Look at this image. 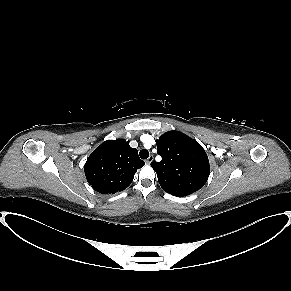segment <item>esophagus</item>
Wrapping results in <instances>:
<instances>
[{"label": "esophagus", "instance_id": "obj_1", "mask_svg": "<svg viewBox=\"0 0 291 291\" xmlns=\"http://www.w3.org/2000/svg\"><path fill=\"white\" fill-rule=\"evenodd\" d=\"M153 159H154V157L151 155V156H149L146 160H145V163L146 164H151V162L153 161Z\"/></svg>", "mask_w": 291, "mask_h": 291}]
</instances>
